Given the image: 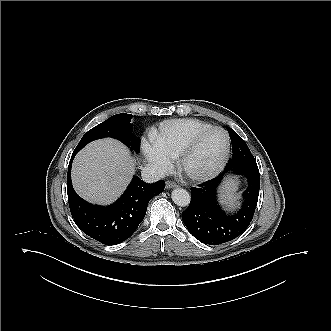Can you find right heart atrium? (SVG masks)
Here are the masks:
<instances>
[{
	"label": "right heart atrium",
	"mask_w": 331,
	"mask_h": 331,
	"mask_svg": "<svg viewBox=\"0 0 331 331\" xmlns=\"http://www.w3.org/2000/svg\"><path fill=\"white\" fill-rule=\"evenodd\" d=\"M142 151L147 162L160 172H167L172 167L173 158L154 143L144 140L142 143Z\"/></svg>",
	"instance_id": "1"
}]
</instances>
